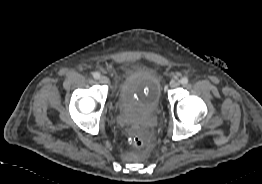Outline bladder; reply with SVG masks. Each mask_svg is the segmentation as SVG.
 I'll return each mask as SVG.
<instances>
[{
    "instance_id": "31cf9c89",
    "label": "bladder",
    "mask_w": 262,
    "mask_h": 184,
    "mask_svg": "<svg viewBox=\"0 0 262 184\" xmlns=\"http://www.w3.org/2000/svg\"><path fill=\"white\" fill-rule=\"evenodd\" d=\"M161 90L159 75L152 68L132 69L120 83L118 103L121 113L136 120L142 107L154 112L160 103Z\"/></svg>"
}]
</instances>
